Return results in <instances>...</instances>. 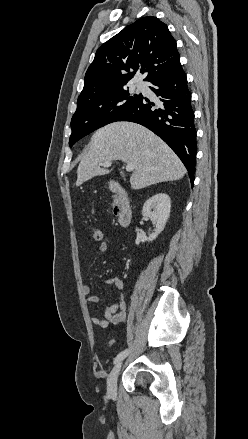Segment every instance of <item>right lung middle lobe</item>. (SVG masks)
Here are the masks:
<instances>
[{"label":"right lung middle lobe","instance_id":"1","mask_svg":"<svg viewBox=\"0 0 248 439\" xmlns=\"http://www.w3.org/2000/svg\"><path fill=\"white\" fill-rule=\"evenodd\" d=\"M142 97L120 88L78 106L71 119L70 147L96 129L119 121Z\"/></svg>","mask_w":248,"mask_h":439}]
</instances>
